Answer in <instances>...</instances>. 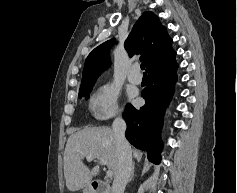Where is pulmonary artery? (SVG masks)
I'll return each mask as SVG.
<instances>
[{"label": "pulmonary artery", "mask_w": 237, "mask_h": 193, "mask_svg": "<svg viewBox=\"0 0 237 193\" xmlns=\"http://www.w3.org/2000/svg\"><path fill=\"white\" fill-rule=\"evenodd\" d=\"M128 80L132 84H136V85L140 84L142 82V76L139 73V66L138 65H134L131 68V71L128 75Z\"/></svg>", "instance_id": "e3ab8cb5"}]
</instances>
